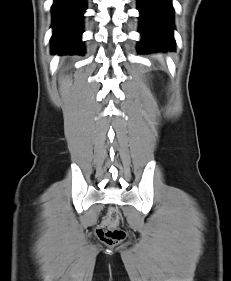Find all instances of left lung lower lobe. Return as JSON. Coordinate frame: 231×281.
I'll return each mask as SVG.
<instances>
[{"label":"left lung lower lobe","mask_w":231,"mask_h":281,"mask_svg":"<svg viewBox=\"0 0 231 281\" xmlns=\"http://www.w3.org/2000/svg\"><path fill=\"white\" fill-rule=\"evenodd\" d=\"M138 10L142 36L138 50L146 53L173 50L175 39L172 0H138Z\"/></svg>","instance_id":"obj_1"}]
</instances>
